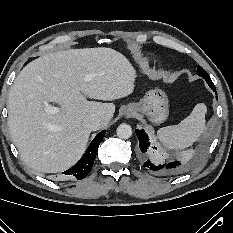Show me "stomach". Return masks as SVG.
I'll return each instance as SVG.
<instances>
[{"mask_svg": "<svg viewBox=\"0 0 233 233\" xmlns=\"http://www.w3.org/2000/svg\"><path fill=\"white\" fill-rule=\"evenodd\" d=\"M168 102V97L162 89L152 88L135 105L137 110L146 114L151 122L159 124L168 117Z\"/></svg>", "mask_w": 233, "mask_h": 233, "instance_id": "obj_1", "label": "stomach"}]
</instances>
